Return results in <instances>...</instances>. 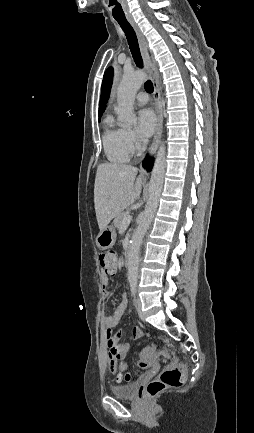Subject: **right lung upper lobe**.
Wrapping results in <instances>:
<instances>
[{
  "instance_id": "1",
  "label": "right lung upper lobe",
  "mask_w": 254,
  "mask_h": 433,
  "mask_svg": "<svg viewBox=\"0 0 254 433\" xmlns=\"http://www.w3.org/2000/svg\"><path fill=\"white\" fill-rule=\"evenodd\" d=\"M112 73H113V68L110 67L106 70L103 77L102 94H101L100 105H99V117H101L102 113L104 112L107 100L109 98V93H110V88L112 83Z\"/></svg>"
}]
</instances>
